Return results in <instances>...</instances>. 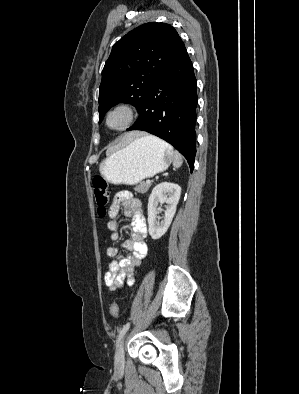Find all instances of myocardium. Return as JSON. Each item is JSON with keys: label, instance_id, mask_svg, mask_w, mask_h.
<instances>
[{"label": "myocardium", "instance_id": "1", "mask_svg": "<svg viewBox=\"0 0 299 394\" xmlns=\"http://www.w3.org/2000/svg\"><path fill=\"white\" fill-rule=\"evenodd\" d=\"M116 113H122L124 115V121L116 127L110 125V118ZM137 117L136 108L129 102H119L112 106L105 115L106 127L114 132H122L131 127Z\"/></svg>", "mask_w": 299, "mask_h": 394}]
</instances>
